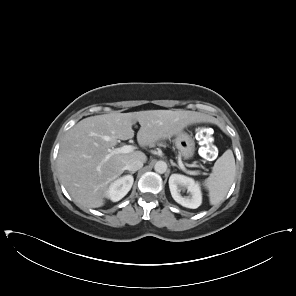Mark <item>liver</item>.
I'll return each instance as SVG.
<instances>
[{
  "label": "liver",
  "instance_id": "1",
  "mask_svg": "<svg viewBox=\"0 0 296 296\" xmlns=\"http://www.w3.org/2000/svg\"><path fill=\"white\" fill-rule=\"evenodd\" d=\"M213 121L207 114L185 110L112 112L87 117L62 140L57 160L59 179L77 205L101 207L108 185L124 172L127 161L132 158L147 161L142 151L114 154L106 159L118 139L134 137L133 124L139 122L141 126L138 144L153 147L157 141L177 135L190 124Z\"/></svg>",
  "mask_w": 296,
  "mask_h": 296
}]
</instances>
